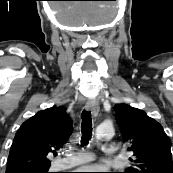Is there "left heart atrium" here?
Masks as SVG:
<instances>
[{"label": "left heart atrium", "instance_id": "obj_1", "mask_svg": "<svg viewBox=\"0 0 173 173\" xmlns=\"http://www.w3.org/2000/svg\"><path fill=\"white\" fill-rule=\"evenodd\" d=\"M107 170L108 169L106 167L99 164L90 165L82 168V172L84 173H106Z\"/></svg>", "mask_w": 173, "mask_h": 173}]
</instances>
